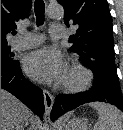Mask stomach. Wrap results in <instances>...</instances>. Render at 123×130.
<instances>
[{"label":"stomach","instance_id":"stomach-1","mask_svg":"<svg viewBox=\"0 0 123 130\" xmlns=\"http://www.w3.org/2000/svg\"><path fill=\"white\" fill-rule=\"evenodd\" d=\"M64 130H88L87 120L83 118H72L64 125Z\"/></svg>","mask_w":123,"mask_h":130}]
</instances>
